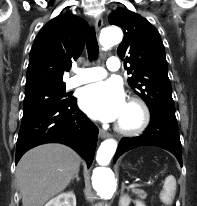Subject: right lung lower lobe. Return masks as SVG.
<instances>
[{
	"label": "right lung lower lobe",
	"mask_w": 197,
	"mask_h": 206,
	"mask_svg": "<svg viewBox=\"0 0 197 206\" xmlns=\"http://www.w3.org/2000/svg\"><path fill=\"white\" fill-rule=\"evenodd\" d=\"M98 129L77 107L75 98L23 116L17 139V164L29 149L44 143L66 144L84 157L90 167L97 145Z\"/></svg>",
	"instance_id": "obj_1"
}]
</instances>
